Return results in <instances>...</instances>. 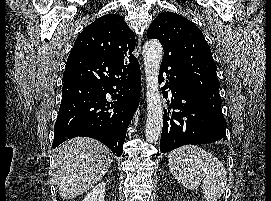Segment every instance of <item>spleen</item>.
Instances as JSON below:
<instances>
[{
  "mask_svg": "<svg viewBox=\"0 0 271 201\" xmlns=\"http://www.w3.org/2000/svg\"><path fill=\"white\" fill-rule=\"evenodd\" d=\"M168 166L175 179L189 190L201 185L205 201H217L227 186L224 165L200 146L185 145L169 154Z\"/></svg>",
  "mask_w": 271,
  "mask_h": 201,
  "instance_id": "obj_1",
  "label": "spleen"
}]
</instances>
